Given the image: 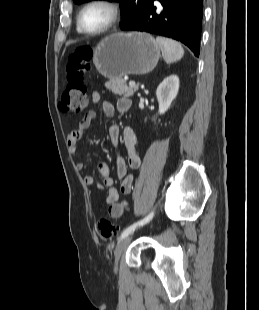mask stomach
Instances as JSON below:
<instances>
[{
	"label": "stomach",
	"instance_id": "0dacf381",
	"mask_svg": "<svg viewBox=\"0 0 259 310\" xmlns=\"http://www.w3.org/2000/svg\"><path fill=\"white\" fill-rule=\"evenodd\" d=\"M160 58L155 39L141 32L114 33L95 48L93 62L98 72L108 79L152 71Z\"/></svg>",
	"mask_w": 259,
	"mask_h": 310
}]
</instances>
